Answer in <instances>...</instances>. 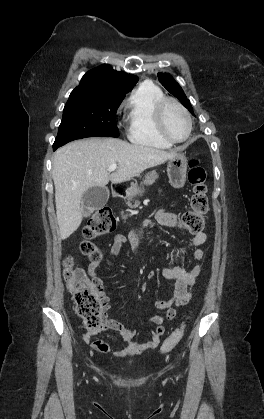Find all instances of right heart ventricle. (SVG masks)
<instances>
[{
    "label": "right heart ventricle",
    "instance_id": "e07e8e85",
    "mask_svg": "<svg viewBox=\"0 0 264 419\" xmlns=\"http://www.w3.org/2000/svg\"><path fill=\"white\" fill-rule=\"evenodd\" d=\"M163 91L151 82H144L132 91L125 107L127 110V136L137 145L168 149L172 144L163 140L155 126V107L164 98Z\"/></svg>",
    "mask_w": 264,
    "mask_h": 419
}]
</instances>
